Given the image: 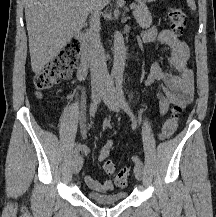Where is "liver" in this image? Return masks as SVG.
<instances>
[{
	"mask_svg": "<svg viewBox=\"0 0 216 217\" xmlns=\"http://www.w3.org/2000/svg\"><path fill=\"white\" fill-rule=\"evenodd\" d=\"M110 0H24L31 67L39 73Z\"/></svg>",
	"mask_w": 216,
	"mask_h": 217,
	"instance_id": "liver-1",
	"label": "liver"
}]
</instances>
